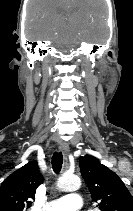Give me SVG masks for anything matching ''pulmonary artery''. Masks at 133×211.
<instances>
[{"label": "pulmonary artery", "mask_w": 133, "mask_h": 211, "mask_svg": "<svg viewBox=\"0 0 133 211\" xmlns=\"http://www.w3.org/2000/svg\"><path fill=\"white\" fill-rule=\"evenodd\" d=\"M82 197L78 193H70L49 201L44 211H77L82 208Z\"/></svg>", "instance_id": "obj_1"}]
</instances>
